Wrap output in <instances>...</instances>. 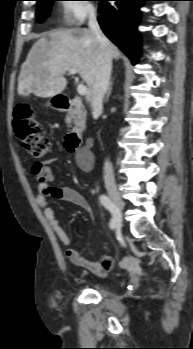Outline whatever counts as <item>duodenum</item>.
<instances>
[{
    "label": "duodenum",
    "mask_w": 193,
    "mask_h": 349,
    "mask_svg": "<svg viewBox=\"0 0 193 349\" xmlns=\"http://www.w3.org/2000/svg\"><path fill=\"white\" fill-rule=\"evenodd\" d=\"M56 107L63 112H73L75 104L73 99L65 96L55 98ZM82 133L79 130L70 131L65 137V147L71 153H76L80 148Z\"/></svg>",
    "instance_id": "1"
}]
</instances>
